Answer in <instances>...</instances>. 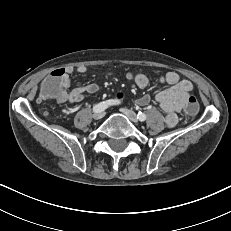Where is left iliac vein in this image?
<instances>
[{
    "label": "left iliac vein",
    "mask_w": 231,
    "mask_h": 231,
    "mask_svg": "<svg viewBox=\"0 0 231 231\" xmlns=\"http://www.w3.org/2000/svg\"><path fill=\"white\" fill-rule=\"evenodd\" d=\"M120 111L123 114H125L128 117L129 120H131L134 123H138L137 114L133 110H130V109H127V108H122V109H120Z\"/></svg>",
    "instance_id": "4c4485c4"
}]
</instances>
